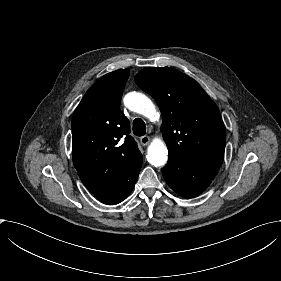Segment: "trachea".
I'll list each match as a JSON object with an SVG mask.
<instances>
[{"label":"trachea","mask_w":281,"mask_h":281,"mask_svg":"<svg viewBox=\"0 0 281 281\" xmlns=\"http://www.w3.org/2000/svg\"><path fill=\"white\" fill-rule=\"evenodd\" d=\"M133 133L139 137L145 135L146 125L142 119L136 118L133 121Z\"/></svg>","instance_id":"trachea-1"}]
</instances>
